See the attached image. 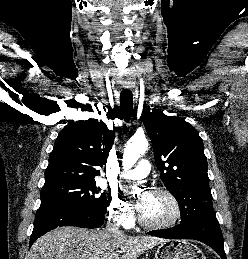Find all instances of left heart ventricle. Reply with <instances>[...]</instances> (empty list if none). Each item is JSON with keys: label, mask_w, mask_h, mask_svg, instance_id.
<instances>
[{"label": "left heart ventricle", "mask_w": 248, "mask_h": 259, "mask_svg": "<svg viewBox=\"0 0 248 259\" xmlns=\"http://www.w3.org/2000/svg\"><path fill=\"white\" fill-rule=\"evenodd\" d=\"M173 208L170 201L162 194L149 192L146 205L141 216L148 222L158 223L172 216Z\"/></svg>", "instance_id": "obj_1"}]
</instances>
